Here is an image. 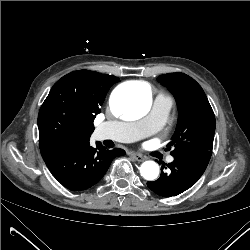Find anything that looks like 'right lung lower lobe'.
<instances>
[{
	"mask_svg": "<svg viewBox=\"0 0 250 250\" xmlns=\"http://www.w3.org/2000/svg\"><path fill=\"white\" fill-rule=\"evenodd\" d=\"M122 149L107 150L101 143L97 148L89 141L42 154L52 175L71 191H82L98 183L115 157L124 155Z\"/></svg>",
	"mask_w": 250,
	"mask_h": 250,
	"instance_id": "1",
	"label": "right lung lower lobe"
}]
</instances>
